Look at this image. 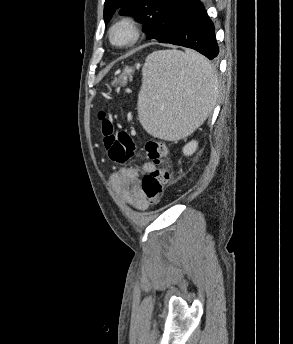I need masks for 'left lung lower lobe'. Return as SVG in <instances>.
I'll list each match as a JSON object with an SVG mask.
<instances>
[{"instance_id":"left-lung-lower-lobe-1","label":"left lung lower lobe","mask_w":293,"mask_h":344,"mask_svg":"<svg viewBox=\"0 0 293 344\" xmlns=\"http://www.w3.org/2000/svg\"><path fill=\"white\" fill-rule=\"evenodd\" d=\"M192 48L212 60L219 54L215 28L200 0H192L174 29L160 41Z\"/></svg>"}]
</instances>
